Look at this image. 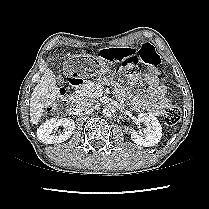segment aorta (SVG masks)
<instances>
[{
  "label": "aorta",
  "instance_id": "obj_1",
  "mask_svg": "<svg viewBox=\"0 0 209 209\" xmlns=\"http://www.w3.org/2000/svg\"><path fill=\"white\" fill-rule=\"evenodd\" d=\"M102 113L107 117H111L115 113V108L114 106L107 104L103 106Z\"/></svg>",
  "mask_w": 209,
  "mask_h": 209
}]
</instances>
